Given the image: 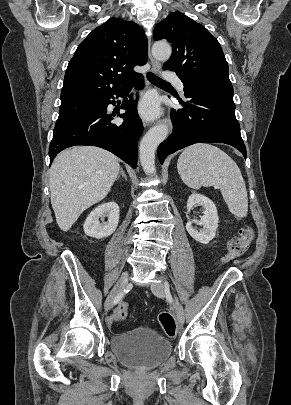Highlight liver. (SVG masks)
I'll return each instance as SVG.
<instances>
[{"label": "liver", "mask_w": 291, "mask_h": 405, "mask_svg": "<svg viewBox=\"0 0 291 405\" xmlns=\"http://www.w3.org/2000/svg\"><path fill=\"white\" fill-rule=\"evenodd\" d=\"M119 170L114 154L93 146H76L55 158L49 186L52 208L62 231H68L84 210L106 197Z\"/></svg>", "instance_id": "obj_1"}]
</instances>
